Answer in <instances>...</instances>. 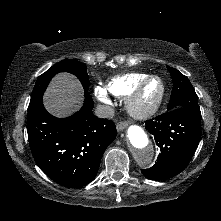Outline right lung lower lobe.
<instances>
[{"mask_svg":"<svg viewBox=\"0 0 221 221\" xmlns=\"http://www.w3.org/2000/svg\"><path fill=\"white\" fill-rule=\"evenodd\" d=\"M94 103L85 91L83 107L67 118H56L42 98L28 110L29 145L40 169L56 183L77 188L97 175L102 155L116 137L115 124L97 118Z\"/></svg>","mask_w":221,"mask_h":221,"instance_id":"1","label":"right lung lower lobe"}]
</instances>
